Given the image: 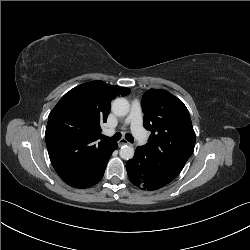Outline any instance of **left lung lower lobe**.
Segmentation results:
<instances>
[{"instance_id":"obj_1","label":"left lung lower lobe","mask_w":250,"mask_h":250,"mask_svg":"<svg viewBox=\"0 0 250 250\" xmlns=\"http://www.w3.org/2000/svg\"><path fill=\"white\" fill-rule=\"evenodd\" d=\"M130 181L143 190H156L170 183L183 168L168 160L153 159L145 147H137L135 155L127 161Z\"/></svg>"}]
</instances>
